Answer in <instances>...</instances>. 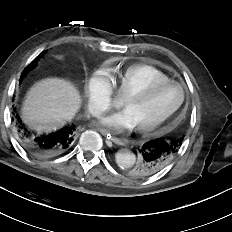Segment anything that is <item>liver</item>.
<instances>
[{
  "label": "liver",
  "mask_w": 232,
  "mask_h": 232,
  "mask_svg": "<svg viewBox=\"0 0 232 232\" xmlns=\"http://www.w3.org/2000/svg\"><path fill=\"white\" fill-rule=\"evenodd\" d=\"M80 105L79 92L70 82L47 78L37 82L27 93L22 119L38 132L54 131L71 120Z\"/></svg>",
  "instance_id": "6515ba94"
}]
</instances>
